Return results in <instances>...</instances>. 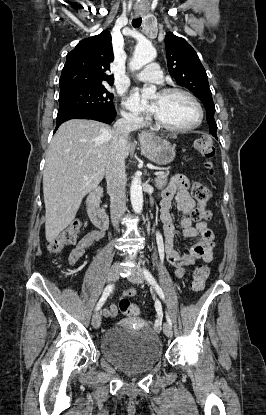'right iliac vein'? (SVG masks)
<instances>
[{"label": "right iliac vein", "mask_w": 266, "mask_h": 415, "mask_svg": "<svg viewBox=\"0 0 266 415\" xmlns=\"http://www.w3.org/2000/svg\"><path fill=\"white\" fill-rule=\"evenodd\" d=\"M120 270H121V266L119 263L113 264L108 273V278H107L108 281L113 282L117 280V278L119 277ZM92 325L95 329H98L100 327L101 325V313L100 312H96L93 315Z\"/></svg>", "instance_id": "obj_1"}]
</instances>
